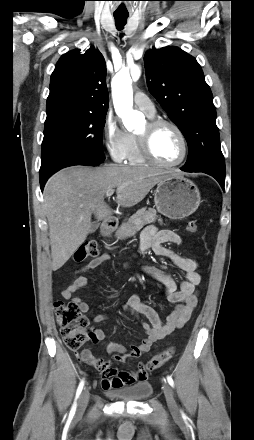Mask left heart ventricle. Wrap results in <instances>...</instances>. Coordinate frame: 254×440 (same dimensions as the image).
<instances>
[{
    "label": "left heart ventricle",
    "mask_w": 254,
    "mask_h": 440,
    "mask_svg": "<svg viewBox=\"0 0 254 440\" xmlns=\"http://www.w3.org/2000/svg\"><path fill=\"white\" fill-rule=\"evenodd\" d=\"M147 131V123L138 134ZM152 150L155 156L164 163L177 162L182 154V143L177 133L168 126L159 127L152 137Z\"/></svg>",
    "instance_id": "1"
}]
</instances>
